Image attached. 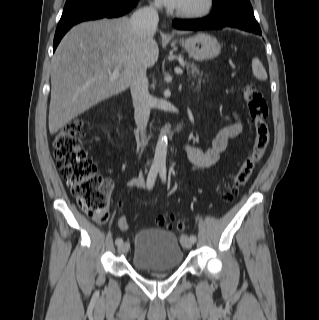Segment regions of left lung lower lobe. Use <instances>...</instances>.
I'll use <instances>...</instances> for the list:
<instances>
[{
    "instance_id": "1",
    "label": "left lung lower lobe",
    "mask_w": 319,
    "mask_h": 320,
    "mask_svg": "<svg viewBox=\"0 0 319 320\" xmlns=\"http://www.w3.org/2000/svg\"><path fill=\"white\" fill-rule=\"evenodd\" d=\"M173 26L182 30L221 29L234 27L261 35L249 0H228L214 6L212 13L198 20H174Z\"/></svg>"
}]
</instances>
